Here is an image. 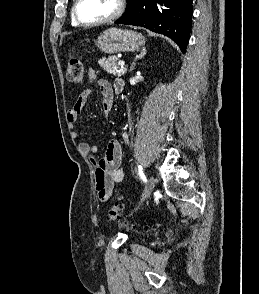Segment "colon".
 Returning a JSON list of instances; mask_svg holds the SVG:
<instances>
[{"label":"colon","instance_id":"5ec220e1","mask_svg":"<svg viewBox=\"0 0 259 294\" xmlns=\"http://www.w3.org/2000/svg\"><path fill=\"white\" fill-rule=\"evenodd\" d=\"M65 76L66 79L71 83H80L83 81L84 67L82 62L78 58L71 56L68 59ZM121 212L122 202L120 200H117L113 203V205L109 208L107 212V221H118L121 217Z\"/></svg>","mask_w":259,"mask_h":294}]
</instances>
